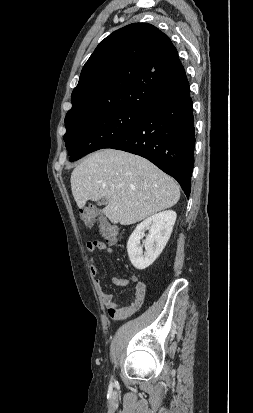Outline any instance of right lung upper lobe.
Instances as JSON below:
<instances>
[{
    "label": "right lung upper lobe",
    "mask_w": 253,
    "mask_h": 413,
    "mask_svg": "<svg viewBox=\"0 0 253 413\" xmlns=\"http://www.w3.org/2000/svg\"><path fill=\"white\" fill-rule=\"evenodd\" d=\"M188 88L169 37L151 24H130L102 40L85 63L65 124L115 109L145 111Z\"/></svg>",
    "instance_id": "1"
}]
</instances>
